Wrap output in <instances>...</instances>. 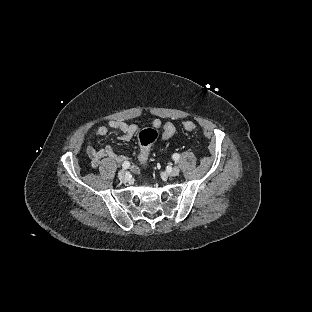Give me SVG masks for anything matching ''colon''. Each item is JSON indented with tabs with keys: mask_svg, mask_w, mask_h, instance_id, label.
Here are the masks:
<instances>
[{
	"mask_svg": "<svg viewBox=\"0 0 312 312\" xmlns=\"http://www.w3.org/2000/svg\"><path fill=\"white\" fill-rule=\"evenodd\" d=\"M175 126L172 123L165 124L161 130V135L163 137H169L171 132L174 131ZM196 129V124L194 122H188L184 125V130L186 132H192ZM157 138V131L154 127L147 128L140 133L139 136V158L142 162L149 158L150 147L153 141Z\"/></svg>",
	"mask_w": 312,
	"mask_h": 312,
	"instance_id": "1",
	"label": "colon"
}]
</instances>
